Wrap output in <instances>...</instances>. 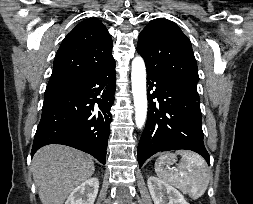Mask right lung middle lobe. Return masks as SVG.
Listing matches in <instances>:
<instances>
[{
    "label": "right lung middle lobe",
    "instance_id": "obj_1",
    "mask_svg": "<svg viewBox=\"0 0 253 204\" xmlns=\"http://www.w3.org/2000/svg\"><path fill=\"white\" fill-rule=\"evenodd\" d=\"M60 83H61V82H59V83H48L46 89L52 88V87H54V86H56V85H58V84H60Z\"/></svg>",
    "mask_w": 253,
    "mask_h": 204
}]
</instances>
